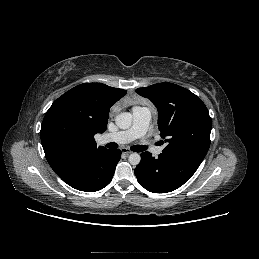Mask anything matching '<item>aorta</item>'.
Returning <instances> with one entry per match:
<instances>
[{"instance_id":"762f6f07","label":"aorta","mask_w":259,"mask_h":259,"mask_svg":"<svg viewBox=\"0 0 259 259\" xmlns=\"http://www.w3.org/2000/svg\"><path fill=\"white\" fill-rule=\"evenodd\" d=\"M115 123L120 129H128L132 124V115L129 112H123L116 116ZM128 161L131 165H138L141 157L138 153L130 154Z\"/></svg>"}]
</instances>
